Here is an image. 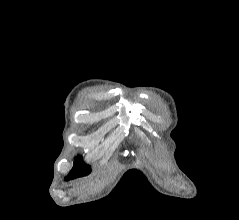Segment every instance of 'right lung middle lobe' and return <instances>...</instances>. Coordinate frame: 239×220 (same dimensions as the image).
<instances>
[{
	"mask_svg": "<svg viewBox=\"0 0 239 220\" xmlns=\"http://www.w3.org/2000/svg\"><path fill=\"white\" fill-rule=\"evenodd\" d=\"M90 166L85 165L81 157H77L75 160L74 167L70 174L66 177V180H71L77 177L86 176L90 173Z\"/></svg>",
	"mask_w": 239,
	"mask_h": 220,
	"instance_id": "right-lung-middle-lobe-1",
	"label": "right lung middle lobe"
}]
</instances>
